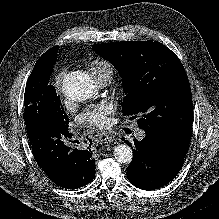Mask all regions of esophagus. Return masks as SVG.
Segmentation results:
<instances>
[{"label":"esophagus","mask_w":219,"mask_h":219,"mask_svg":"<svg viewBox=\"0 0 219 219\" xmlns=\"http://www.w3.org/2000/svg\"><path fill=\"white\" fill-rule=\"evenodd\" d=\"M96 137H97L98 141L102 142V143H108V142H111L113 140V138L110 136V134H108L106 132H98Z\"/></svg>","instance_id":"34e87169"}]
</instances>
